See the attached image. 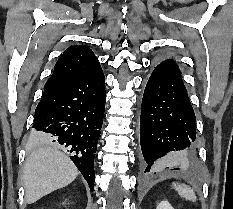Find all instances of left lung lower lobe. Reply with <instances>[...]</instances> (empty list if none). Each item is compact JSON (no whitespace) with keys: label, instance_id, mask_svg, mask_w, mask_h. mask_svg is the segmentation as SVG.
<instances>
[{"label":"left lung lower lobe","instance_id":"obj_1","mask_svg":"<svg viewBox=\"0 0 233 209\" xmlns=\"http://www.w3.org/2000/svg\"><path fill=\"white\" fill-rule=\"evenodd\" d=\"M195 114L173 59L153 70L142 99L140 144L145 172L195 163Z\"/></svg>","mask_w":233,"mask_h":209}]
</instances>
